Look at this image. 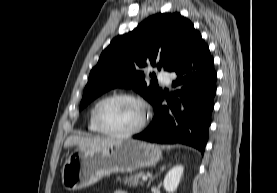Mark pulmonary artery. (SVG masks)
I'll return each mask as SVG.
<instances>
[{
	"instance_id": "pulmonary-artery-1",
	"label": "pulmonary artery",
	"mask_w": 277,
	"mask_h": 193,
	"mask_svg": "<svg viewBox=\"0 0 277 193\" xmlns=\"http://www.w3.org/2000/svg\"><path fill=\"white\" fill-rule=\"evenodd\" d=\"M158 79L166 84V85H169L170 84V81H171V76L168 72L166 71H161L158 73Z\"/></svg>"
}]
</instances>
